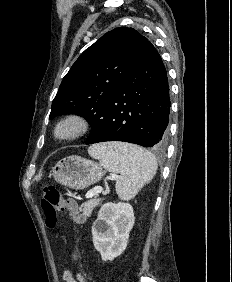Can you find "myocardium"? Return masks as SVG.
I'll return each instance as SVG.
<instances>
[{
	"label": "myocardium",
	"mask_w": 232,
	"mask_h": 282,
	"mask_svg": "<svg viewBox=\"0 0 232 282\" xmlns=\"http://www.w3.org/2000/svg\"><path fill=\"white\" fill-rule=\"evenodd\" d=\"M89 119L80 113H70L54 125L52 134L58 142H73L84 137L90 130Z\"/></svg>",
	"instance_id": "f54148a6"
}]
</instances>
